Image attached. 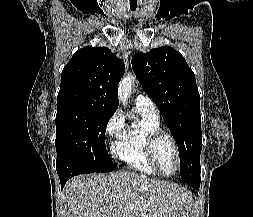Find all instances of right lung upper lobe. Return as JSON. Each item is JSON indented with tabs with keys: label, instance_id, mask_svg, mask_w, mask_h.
Returning <instances> with one entry per match:
<instances>
[{
	"label": "right lung upper lobe",
	"instance_id": "obj_1",
	"mask_svg": "<svg viewBox=\"0 0 253 217\" xmlns=\"http://www.w3.org/2000/svg\"><path fill=\"white\" fill-rule=\"evenodd\" d=\"M125 65L106 47H84L62 71L58 107L83 106L115 112Z\"/></svg>",
	"mask_w": 253,
	"mask_h": 217
}]
</instances>
